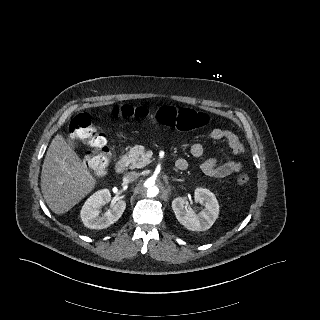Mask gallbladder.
<instances>
[{"mask_svg": "<svg viewBox=\"0 0 320 320\" xmlns=\"http://www.w3.org/2000/svg\"><path fill=\"white\" fill-rule=\"evenodd\" d=\"M69 145H70L71 147H74V146H75L72 141H69Z\"/></svg>", "mask_w": 320, "mask_h": 320, "instance_id": "bac80fb5", "label": "gallbladder"}]
</instances>
